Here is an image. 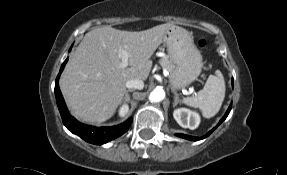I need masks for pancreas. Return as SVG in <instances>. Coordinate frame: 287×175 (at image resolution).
<instances>
[{"instance_id":"cf45deb5","label":"pancreas","mask_w":287,"mask_h":175,"mask_svg":"<svg viewBox=\"0 0 287 175\" xmlns=\"http://www.w3.org/2000/svg\"><path fill=\"white\" fill-rule=\"evenodd\" d=\"M159 64L166 70L171 71L174 67L173 63L171 62V60H169V58L167 56L162 57L159 60Z\"/></svg>"}]
</instances>
